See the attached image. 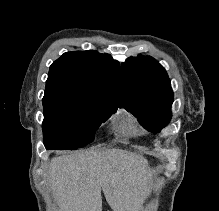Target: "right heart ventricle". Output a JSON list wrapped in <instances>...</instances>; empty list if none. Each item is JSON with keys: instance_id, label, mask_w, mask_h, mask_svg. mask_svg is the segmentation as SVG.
<instances>
[{"instance_id": "obj_1", "label": "right heart ventricle", "mask_w": 219, "mask_h": 211, "mask_svg": "<svg viewBox=\"0 0 219 211\" xmlns=\"http://www.w3.org/2000/svg\"><path fill=\"white\" fill-rule=\"evenodd\" d=\"M120 130L126 135H136L141 132L136 118L130 114H126L124 123L121 125Z\"/></svg>"}]
</instances>
